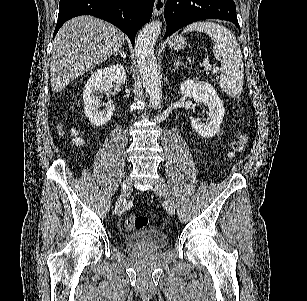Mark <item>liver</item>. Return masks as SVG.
<instances>
[{
    "label": "liver",
    "mask_w": 307,
    "mask_h": 301,
    "mask_svg": "<svg viewBox=\"0 0 307 301\" xmlns=\"http://www.w3.org/2000/svg\"><path fill=\"white\" fill-rule=\"evenodd\" d=\"M125 34L114 24L90 14L64 22L54 40L50 60V84L54 92L105 62L124 44Z\"/></svg>",
    "instance_id": "6515ba94"
}]
</instances>
